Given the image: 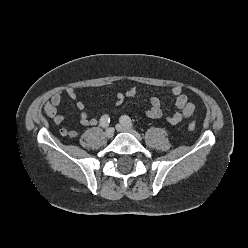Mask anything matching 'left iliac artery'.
Segmentation results:
<instances>
[{"mask_svg":"<svg viewBox=\"0 0 248 248\" xmlns=\"http://www.w3.org/2000/svg\"><path fill=\"white\" fill-rule=\"evenodd\" d=\"M120 122H121L122 124H124L125 126L134 127V124H133L132 120H131L130 117L127 116V115H123V116L120 118Z\"/></svg>","mask_w":248,"mask_h":248,"instance_id":"obj_1","label":"left iliac artery"}]
</instances>
